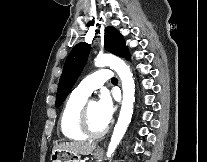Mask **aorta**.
<instances>
[{"instance_id": "obj_1", "label": "aorta", "mask_w": 207, "mask_h": 162, "mask_svg": "<svg viewBox=\"0 0 207 162\" xmlns=\"http://www.w3.org/2000/svg\"><path fill=\"white\" fill-rule=\"evenodd\" d=\"M96 67L109 66L119 75L123 89V100L120 115L115 125L110 143L108 145L107 157L110 158L118 144L126 133L127 127L133 114V103L135 101V84L130 68L120 58L110 54H99L94 60Z\"/></svg>"}]
</instances>
